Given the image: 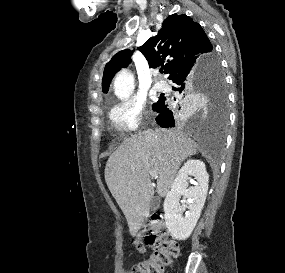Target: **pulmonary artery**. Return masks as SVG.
Here are the masks:
<instances>
[{
    "mask_svg": "<svg viewBox=\"0 0 285 273\" xmlns=\"http://www.w3.org/2000/svg\"><path fill=\"white\" fill-rule=\"evenodd\" d=\"M154 88L157 90V91H166L168 88H169V85L167 82L163 81V80H158L155 82L154 84Z\"/></svg>",
    "mask_w": 285,
    "mask_h": 273,
    "instance_id": "1",
    "label": "pulmonary artery"
}]
</instances>
